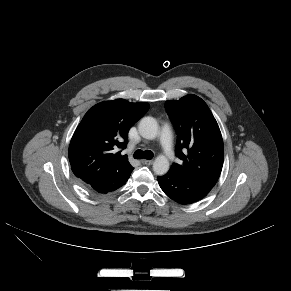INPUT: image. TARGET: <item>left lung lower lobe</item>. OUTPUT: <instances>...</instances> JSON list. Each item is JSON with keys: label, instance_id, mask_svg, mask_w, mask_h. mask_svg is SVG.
<instances>
[{"label": "left lung lower lobe", "instance_id": "obj_1", "mask_svg": "<svg viewBox=\"0 0 291 291\" xmlns=\"http://www.w3.org/2000/svg\"><path fill=\"white\" fill-rule=\"evenodd\" d=\"M157 179L163 192L180 204H191L201 200L212 189L210 185L172 170Z\"/></svg>", "mask_w": 291, "mask_h": 291}]
</instances>
